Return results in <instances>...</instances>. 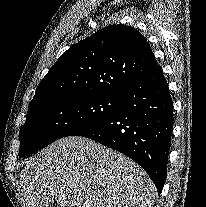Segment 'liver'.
I'll use <instances>...</instances> for the list:
<instances>
[{
    "label": "liver",
    "mask_w": 206,
    "mask_h": 207,
    "mask_svg": "<svg viewBox=\"0 0 206 207\" xmlns=\"http://www.w3.org/2000/svg\"><path fill=\"white\" fill-rule=\"evenodd\" d=\"M21 192L28 207H152L155 186L123 154L93 140L68 136L25 162Z\"/></svg>",
    "instance_id": "1"
}]
</instances>
